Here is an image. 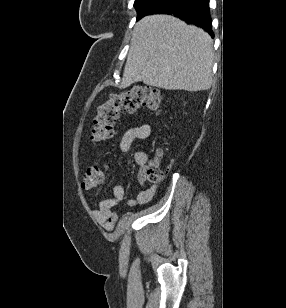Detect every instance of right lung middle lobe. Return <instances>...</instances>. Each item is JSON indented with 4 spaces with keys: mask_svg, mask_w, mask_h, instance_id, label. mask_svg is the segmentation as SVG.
I'll list each match as a JSON object with an SVG mask.
<instances>
[{
    "mask_svg": "<svg viewBox=\"0 0 286 308\" xmlns=\"http://www.w3.org/2000/svg\"><path fill=\"white\" fill-rule=\"evenodd\" d=\"M169 1L170 0H135L134 7L138 13L137 20L161 8Z\"/></svg>",
    "mask_w": 286,
    "mask_h": 308,
    "instance_id": "right-lung-middle-lobe-1",
    "label": "right lung middle lobe"
}]
</instances>
